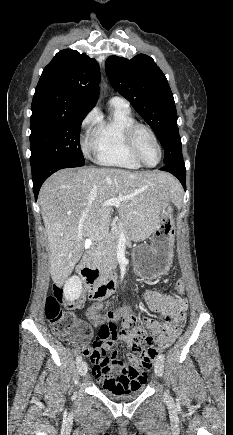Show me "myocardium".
Instances as JSON below:
<instances>
[{"label": "myocardium", "instance_id": "obj_1", "mask_svg": "<svg viewBox=\"0 0 233 435\" xmlns=\"http://www.w3.org/2000/svg\"><path fill=\"white\" fill-rule=\"evenodd\" d=\"M140 131L147 132L148 135L154 141V143L158 149L159 160L154 165L147 164L143 160V158L141 157V154L139 152L138 145H137V135ZM126 141H127V145H128V148L130 150L131 155L141 166L147 167V168H154V167L158 166V164L161 162L162 157H163L161 144H160L155 132L153 131V129L151 127H149L148 125H146L144 123H140V122L133 123L131 126L128 127V129L126 131Z\"/></svg>", "mask_w": 233, "mask_h": 435}]
</instances>
